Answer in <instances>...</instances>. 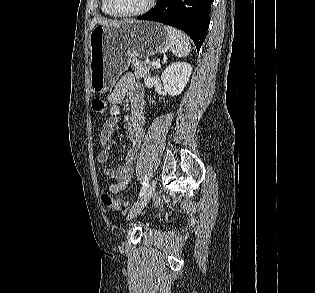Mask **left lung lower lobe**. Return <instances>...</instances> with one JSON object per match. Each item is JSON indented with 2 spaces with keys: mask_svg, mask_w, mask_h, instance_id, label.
I'll return each instance as SVG.
<instances>
[{
  "mask_svg": "<svg viewBox=\"0 0 315 293\" xmlns=\"http://www.w3.org/2000/svg\"><path fill=\"white\" fill-rule=\"evenodd\" d=\"M212 0H158L139 20H153L186 32L200 49L209 26Z\"/></svg>",
  "mask_w": 315,
  "mask_h": 293,
  "instance_id": "left-lung-lower-lobe-1",
  "label": "left lung lower lobe"
}]
</instances>
